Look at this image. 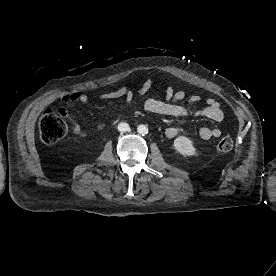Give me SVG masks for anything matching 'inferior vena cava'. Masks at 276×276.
I'll return each mask as SVG.
<instances>
[{
  "mask_svg": "<svg viewBox=\"0 0 276 276\" xmlns=\"http://www.w3.org/2000/svg\"><path fill=\"white\" fill-rule=\"evenodd\" d=\"M118 130H119L120 132H127V131L130 130V127H129V125H128L127 123L121 122V123H119V125H118Z\"/></svg>",
  "mask_w": 276,
  "mask_h": 276,
  "instance_id": "1",
  "label": "inferior vena cava"
}]
</instances>
